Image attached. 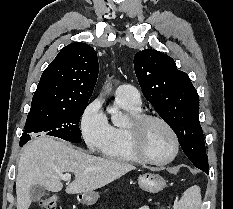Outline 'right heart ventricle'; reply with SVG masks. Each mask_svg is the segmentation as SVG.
Instances as JSON below:
<instances>
[{
    "label": "right heart ventricle",
    "mask_w": 233,
    "mask_h": 209,
    "mask_svg": "<svg viewBox=\"0 0 233 209\" xmlns=\"http://www.w3.org/2000/svg\"><path fill=\"white\" fill-rule=\"evenodd\" d=\"M116 102L132 119L141 114L140 106H134L118 99H116ZM101 153L112 160L134 164L141 163L130 148L127 126L112 127L110 140L101 149Z\"/></svg>",
    "instance_id": "right-heart-ventricle-1"
}]
</instances>
